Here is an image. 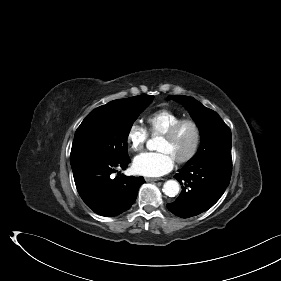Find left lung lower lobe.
Instances as JSON below:
<instances>
[{
    "label": "left lung lower lobe",
    "instance_id": "left-lung-lower-lobe-1",
    "mask_svg": "<svg viewBox=\"0 0 281 281\" xmlns=\"http://www.w3.org/2000/svg\"><path fill=\"white\" fill-rule=\"evenodd\" d=\"M232 160L208 158L186 164L174 177L182 192L167 208L176 216L189 218L211 208L230 182Z\"/></svg>",
    "mask_w": 281,
    "mask_h": 281
}]
</instances>
